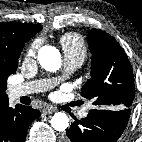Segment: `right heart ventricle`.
Instances as JSON below:
<instances>
[{
  "label": "right heart ventricle",
  "instance_id": "1",
  "mask_svg": "<svg viewBox=\"0 0 142 142\" xmlns=\"http://www.w3.org/2000/svg\"><path fill=\"white\" fill-rule=\"evenodd\" d=\"M60 43L65 56L85 58L86 46L80 35L76 33L65 34L61 37Z\"/></svg>",
  "mask_w": 142,
  "mask_h": 142
}]
</instances>
